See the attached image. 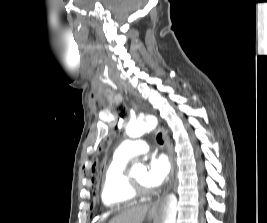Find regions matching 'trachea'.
I'll return each mask as SVG.
<instances>
[{"label": "trachea", "mask_w": 267, "mask_h": 223, "mask_svg": "<svg viewBox=\"0 0 267 223\" xmlns=\"http://www.w3.org/2000/svg\"><path fill=\"white\" fill-rule=\"evenodd\" d=\"M157 142L159 143V144H163V138H162V134L161 133H159L158 135H157Z\"/></svg>", "instance_id": "trachea-1"}]
</instances>
